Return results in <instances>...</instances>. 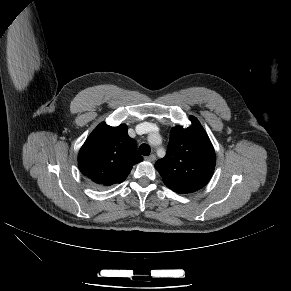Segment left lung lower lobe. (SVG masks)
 <instances>
[{"label":"left lung lower lobe","mask_w":291,"mask_h":291,"mask_svg":"<svg viewBox=\"0 0 291 291\" xmlns=\"http://www.w3.org/2000/svg\"><path fill=\"white\" fill-rule=\"evenodd\" d=\"M171 190H173L174 192H177V193H192L190 192L187 188H184L182 186H178V185H171V184H166Z\"/></svg>","instance_id":"1"}]
</instances>
